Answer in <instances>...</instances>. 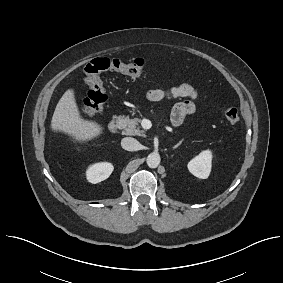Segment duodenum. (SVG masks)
<instances>
[{"label": "duodenum", "mask_w": 283, "mask_h": 283, "mask_svg": "<svg viewBox=\"0 0 283 283\" xmlns=\"http://www.w3.org/2000/svg\"><path fill=\"white\" fill-rule=\"evenodd\" d=\"M121 126V120L118 116H114L109 125H108V130L111 134H117L120 130Z\"/></svg>", "instance_id": "obj_1"}]
</instances>
